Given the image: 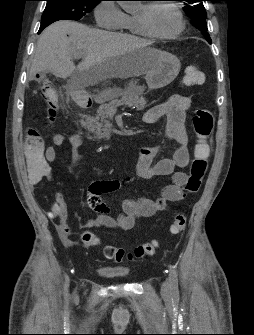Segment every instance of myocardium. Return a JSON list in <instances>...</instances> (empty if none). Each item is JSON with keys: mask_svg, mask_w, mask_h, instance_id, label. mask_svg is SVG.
<instances>
[{"mask_svg": "<svg viewBox=\"0 0 254 335\" xmlns=\"http://www.w3.org/2000/svg\"><path fill=\"white\" fill-rule=\"evenodd\" d=\"M159 5H167L175 11V13L178 17L179 26L174 32L169 33V34L159 33L151 25L150 14H151L152 10L156 6H159ZM137 18H138V21H139L140 25L147 32L148 35H150L152 37H155V38H158V39H163V40H170V39L177 38L185 30V27H186L185 20H184L183 13H182L181 9L179 8V6L177 4H175L173 2H169V1L154 2V3H151V4L143 5V9L140 13L137 14Z\"/></svg>", "mask_w": 254, "mask_h": 335, "instance_id": "myocardium-1", "label": "myocardium"}]
</instances>
